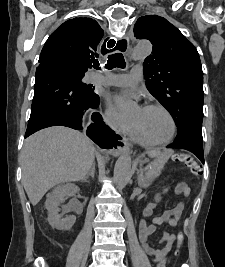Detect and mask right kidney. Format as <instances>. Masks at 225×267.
Masks as SVG:
<instances>
[{
  "instance_id": "ca27d5eb",
  "label": "right kidney",
  "mask_w": 225,
  "mask_h": 267,
  "mask_svg": "<svg viewBox=\"0 0 225 267\" xmlns=\"http://www.w3.org/2000/svg\"><path fill=\"white\" fill-rule=\"evenodd\" d=\"M79 191L80 188L77 185L67 183L55 187L53 191L47 195L45 207L48 211V222L52 227L58 230H69L74 225L76 216L71 215L63 218L59 215L58 206L65 197L72 196Z\"/></svg>"
}]
</instances>
